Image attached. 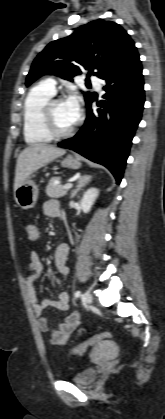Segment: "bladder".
I'll return each instance as SVG.
<instances>
[{
    "label": "bladder",
    "instance_id": "1",
    "mask_svg": "<svg viewBox=\"0 0 165 419\" xmlns=\"http://www.w3.org/2000/svg\"><path fill=\"white\" fill-rule=\"evenodd\" d=\"M98 377V372L92 368H86L71 377V381L77 385H90Z\"/></svg>",
    "mask_w": 165,
    "mask_h": 419
}]
</instances>
